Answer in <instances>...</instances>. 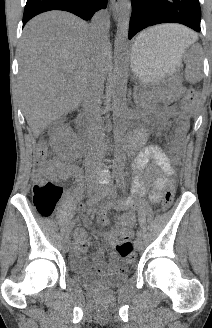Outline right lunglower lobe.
Masks as SVG:
<instances>
[{"instance_id":"right-lung-lower-lobe-1","label":"right lung lower lobe","mask_w":212,"mask_h":328,"mask_svg":"<svg viewBox=\"0 0 212 328\" xmlns=\"http://www.w3.org/2000/svg\"><path fill=\"white\" fill-rule=\"evenodd\" d=\"M107 0H27L23 26L34 16L50 11L71 12L84 20H90L96 11L106 8Z\"/></svg>"}]
</instances>
